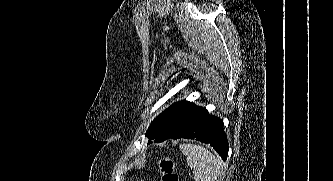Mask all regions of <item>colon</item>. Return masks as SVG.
I'll return each instance as SVG.
<instances>
[{
  "instance_id": "colon-1",
  "label": "colon",
  "mask_w": 333,
  "mask_h": 181,
  "mask_svg": "<svg viewBox=\"0 0 333 181\" xmlns=\"http://www.w3.org/2000/svg\"><path fill=\"white\" fill-rule=\"evenodd\" d=\"M161 181H179L174 161L169 157H161L158 161Z\"/></svg>"
}]
</instances>
